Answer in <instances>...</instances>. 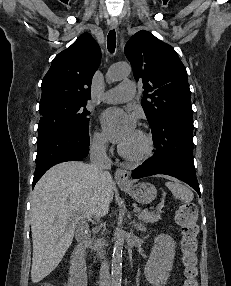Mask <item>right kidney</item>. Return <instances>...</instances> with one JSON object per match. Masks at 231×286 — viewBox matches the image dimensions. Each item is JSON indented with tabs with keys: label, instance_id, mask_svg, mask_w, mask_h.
Returning <instances> with one entry per match:
<instances>
[{
	"label": "right kidney",
	"instance_id": "right-kidney-1",
	"mask_svg": "<svg viewBox=\"0 0 231 286\" xmlns=\"http://www.w3.org/2000/svg\"><path fill=\"white\" fill-rule=\"evenodd\" d=\"M66 286H87L85 260H78L75 255H72L69 279Z\"/></svg>",
	"mask_w": 231,
	"mask_h": 286
}]
</instances>
